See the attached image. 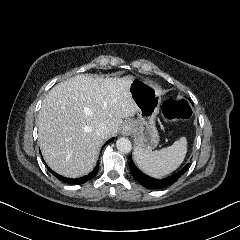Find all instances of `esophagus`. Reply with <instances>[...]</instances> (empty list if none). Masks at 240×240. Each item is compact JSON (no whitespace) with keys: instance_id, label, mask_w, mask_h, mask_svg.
Instances as JSON below:
<instances>
[{"instance_id":"34e87169","label":"esophagus","mask_w":240,"mask_h":240,"mask_svg":"<svg viewBox=\"0 0 240 240\" xmlns=\"http://www.w3.org/2000/svg\"><path fill=\"white\" fill-rule=\"evenodd\" d=\"M132 123L130 121H127V122H124L121 130H120V133L124 136H129L132 132Z\"/></svg>"}]
</instances>
